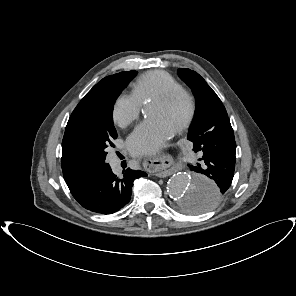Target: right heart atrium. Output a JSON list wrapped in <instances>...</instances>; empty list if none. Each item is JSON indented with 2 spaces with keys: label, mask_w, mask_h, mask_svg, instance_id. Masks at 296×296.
<instances>
[{
  "label": "right heart atrium",
  "mask_w": 296,
  "mask_h": 296,
  "mask_svg": "<svg viewBox=\"0 0 296 296\" xmlns=\"http://www.w3.org/2000/svg\"><path fill=\"white\" fill-rule=\"evenodd\" d=\"M141 112V105L128 94L120 95L114 102L112 119L116 125L125 128L136 121Z\"/></svg>",
  "instance_id": "obj_1"
}]
</instances>
